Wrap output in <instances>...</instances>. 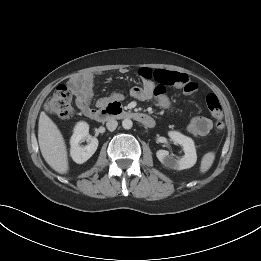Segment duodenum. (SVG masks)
Listing matches in <instances>:
<instances>
[{
	"label": "duodenum",
	"instance_id": "duodenum-1",
	"mask_svg": "<svg viewBox=\"0 0 261 261\" xmlns=\"http://www.w3.org/2000/svg\"><path fill=\"white\" fill-rule=\"evenodd\" d=\"M88 117L98 121L112 117L133 119L147 127L154 126V121L149 115L140 112L126 110L121 106L119 102H111L100 109L92 110L88 113Z\"/></svg>",
	"mask_w": 261,
	"mask_h": 261
}]
</instances>
